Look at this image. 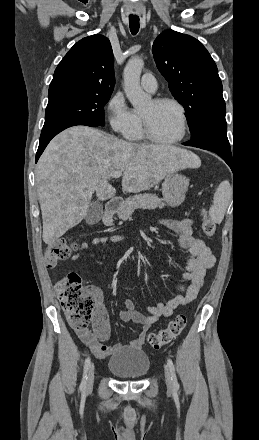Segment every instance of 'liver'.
<instances>
[{"mask_svg": "<svg viewBox=\"0 0 259 440\" xmlns=\"http://www.w3.org/2000/svg\"><path fill=\"white\" fill-rule=\"evenodd\" d=\"M200 164L197 155L176 146L131 143L87 126L66 129L52 139L36 167L43 241L52 245L78 225L94 193L101 201L114 198L108 180L116 171L123 172V191L138 193L169 173Z\"/></svg>", "mask_w": 259, "mask_h": 440, "instance_id": "6515ba94", "label": "liver"}]
</instances>
